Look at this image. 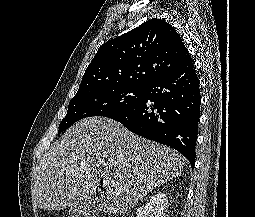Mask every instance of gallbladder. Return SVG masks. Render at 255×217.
<instances>
[{
	"label": "gallbladder",
	"mask_w": 255,
	"mask_h": 217,
	"mask_svg": "<svg viewBox=\"0 0 255 217\" xmlns=\"http://www.w3.org/2000/svg\"><path fill=\"white\" fill-rule=\"evenodd\" d=\"M98 198L88 197L79 204L72 206L69 210V217H92L97 211Z\"/></svg>",
	"instance_id": "bac80fb5"
}]
</instances>
